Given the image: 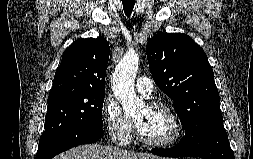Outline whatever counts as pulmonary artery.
I'll return each instance as SVG.
<instances>
[{
    "label": "pulmonary artery",
    "mask_w": 253,
    "mask_h": 159,
    "mask_svg": "<svg viewBox=\"0 0 253 159\" xmlns=\"http://www.w3.org/2000/svg\"><path fill=\"white\" fill-rule=\"evenodd\" d=\"M136 89L142 95L148 97L153 92V85L148 77L142 76L136 80Z\"/></svg>",
    "instance_id": "1"
}]
</instances>
